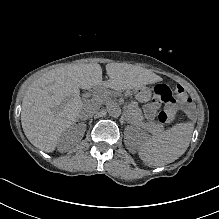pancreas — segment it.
I'll list each match as a JSON object with an SVG mask.
<instances>
[{"instance_id":"1","label":"pancreas","mask_w":219,"mask_h":219,"mask_svg":"<svg viewBox=\"0 0 219 219\" xmlns=\"http://www.w3.org/2000/svg\"><path fill=\"white\" fill-rule=\"evenodd\" d=\"M127 113L128 115V122L132 123L136 126H143L145 129H147L151 133H157L163 130L161 125L155 124L153 122L145 123V118L143 117V114L141 113V107L138 104H131L127 106Z\"/></svg>"}]
</instances>
